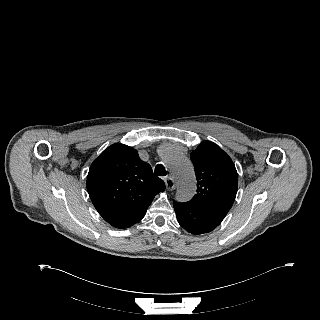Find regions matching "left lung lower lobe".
<instances>
[{"instance_id": "obj_1", "label": "left lung lower lobe", "mask_w": 320, "mask_h": 320, "mask_svg": "<svg viewBox=\"0 0 320 320\" xmlns=\"http://www.w3.org/2000/svg\"><path fill=\"white\" fill-rule=\"evenodd\" d=\"M178 223L189 233L203 234L214 230L226 216V212L193 202H173Z\"/></svg>"}]
</instances>
